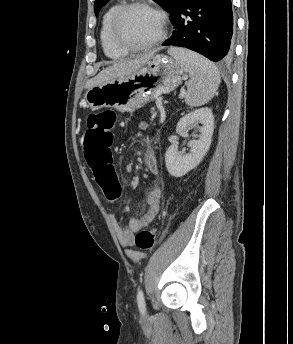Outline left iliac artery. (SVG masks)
<instances>
[{"mask_svg": "<svg viewBox=\"0 0 293 344\" xmlns=\"http://www.w3.org/2000/svg\"><path fill=\"white\" fill-rule=\"evenodd\" d=\"M137 302H138V307H139L140 312L142 314H144L146 311V307H145V300H144V295H143L142 289L139 290V292L137 294Z\"/></svg>", "mask_w": 293, "mask_h": 344, "instance_id": "44dca946", "label": "left iliac artery"}]
</instances>
